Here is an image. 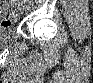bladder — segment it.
Instances as JSON below:
<instances>
[{
    "label": "bladder",
    "instance_id": "bladder-1",
    "mask_svg": "<svg viewBox=\"0 0 93 83\" xmlns=\"http://www.w3.org/2000/svg\"><path fill=\"white\" fill-rule=\"evenodd\" d=\"M13 34V29L8 27H1V38H8Z\"/></svg>",
    "mask_w": 93,
    "mask_h": 83
}]
</instances>
